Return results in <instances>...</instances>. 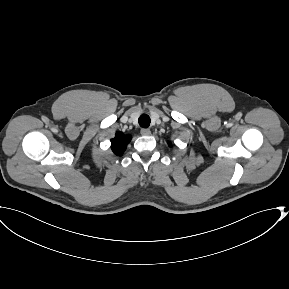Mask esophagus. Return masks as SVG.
Wrapping results in <instances>:
<instances>
[{
    "instance_id": "1",
    "label": "esophagus",
    "mask_w": 289,
    "mask_h": 289,
    "mask_svg": "<svg viewBox=\"0 0 289 289\" xmlns=\"http://www.w3.org/2000/svg\"><path fill=\"white\" fill-rule=\"evenodd\" d=\"M141 135L143 136H149L151 134V131L150 129L148 128H142L141 131H140Z\"/></svg>"
}]
</instances>
